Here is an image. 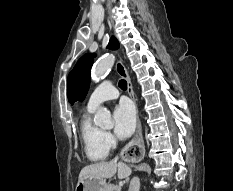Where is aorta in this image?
<instances>
[{
    "label": "aorta",
    "mask_w": 233,
    "mask_h": 191,
    "mask_svg": "<svg viewBox=\"0 0 233 191\" xmlns=\"http://www.w3.org/2000/svg\"><path fill=\"white\" fill-rule=\"evenodd\" d=\"M115 61L114 55H107L106 57L100 59L92 69V79L94 81H98L101 77H103L109 70L112 68ZM95 123L104 128L113 127V122L111 119V114L107 110V108L101 107L98 109L97 113L94 117Z\"/></svg>",
    "instance_id": "762f6f07"
}]
</instances>
